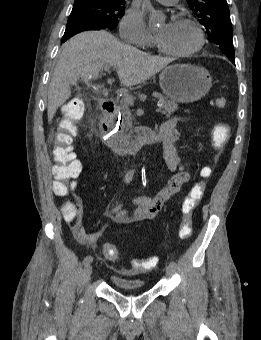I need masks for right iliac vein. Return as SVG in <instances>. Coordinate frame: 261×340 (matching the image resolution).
<instances>
[{
	"instance_id": "right-iliac-vein-1",
	"label": "right iliac vein",
	"mask_w": 261,
	"mask_h": 340,
	"mask_svg": "<svg viewBox=\"0 0 261 340\" xmlns=\"http://www.w3.org/2000/svg\"><path fill=\"white\" fill-rule=\"evenodd\" d=\"M92 273V266L91 264H87L85 265V268H84V276L85 278L87 279Z\"/></svg>"
}]
</instances>
